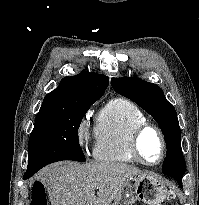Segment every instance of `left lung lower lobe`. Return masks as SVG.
I'll return each mask as SVG.
<instances>
[{"mask_svg": "<svg viewBox=\"0 0 199 205\" xmlns=\"http://www.w3.org/2000/svg\"><path fill=\"white\" fill-rule=\"evenodd\" d=\"M179 186L182 188V185H181V184H179Z\"/></svg>", "mask_w": 199, "mask_h": 205, "instance_id": "left-lung-lower-lobe-1", "label": "left lung lower lobe"}]
</instances>
